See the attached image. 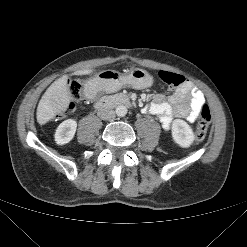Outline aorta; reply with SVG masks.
Returning a JSON list of instances; mask_svg holds the SVG:
<instances>
[{"label": "aorta", "instance_id": "1", "mask_svg": "<svg viewBox=\"0 0 247 247\" xmlns=\"http://www.w3.org/2000/svg\"><path fill=\"white\" fill-rule=\"evenodd\" d=\"M127 107L124 105H119L116 107V115L119 117H124L127 114Z\"/></svg>", "mask_w": 247, "mask_h": 247}]
</instances>
